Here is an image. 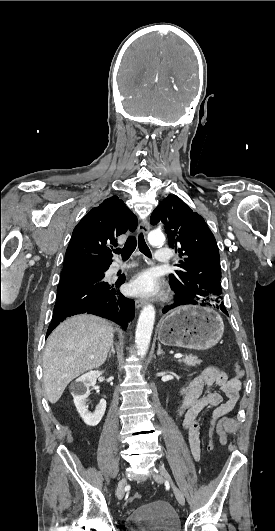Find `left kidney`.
<instances>
[{
	"instance_id": "left-kidney-1",
	"label": "left kidney",
	"mask_w": 275,
	"mask_h": 531,
	"mask_svg": "<svg viewBox=\"0 0 275 531\" xmlns=\"http://www.w3.org/2000/svg\"><path fill=\"white\" fill-rule=\"evenodd\" d=\"M185 389H182V393H184Z\"/></svg>"
}]
</instances>
